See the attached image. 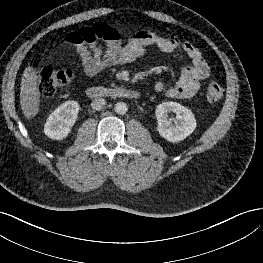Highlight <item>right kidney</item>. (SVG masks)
Returning a JSON list of instances; mask_svg holds the SVG:
<instances>
[{"instance_id": "right-kidney-1", "label": "right kidney", "mask_w": 263, "mask_h": 263, "mask_svg": "<svg viewBox=\"0 0 263 263\" xmlns=\"http://www.w3.org/2000/svg\"><path fill=\"white\" fill-rule=\"evenodd\" d=\"M79 108L78 102L74 100L61 104L47 118L44 125L45 135L54 140L67 137L77 120Z\"/></svg>"}]
</instances>
